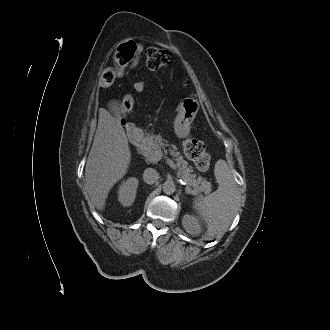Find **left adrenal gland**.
<instances>
[{
  "label": "left adrenal gland",
  "instance_id": "left-adrenal-gland-1",
  "mask_svg": "<svg viewBox=\"0 0 330 330\" xmlns=\"http://www.w3.org/2000/svg\"><path fill=\"white\" fill-rule=\"evenodd\" d=\"M185 193L191 194V192L188 189H185Z\"/></svg>",
  "mask_w": 330,
  "mask_h": 330
}]
</instances>
